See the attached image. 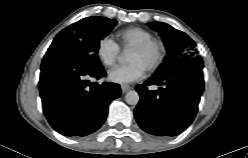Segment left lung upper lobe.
Instances as JSON below:
<instances>
[{
    "label": "left lung upper lobe",
    "mask_w": 248,
    "mask_h": 158,
    "mask_svg": "<svg viewBox=\"0 0 248 158\" xmlns=\"http://www.w3.org/2000/svg\"><path fill=\"white\" fill-rule=\"evenodd\" d=\"M148 25L162 37L168 53L153 76L160 77L181 62L197 57L195 42L184 32L163 22H150Z\"/></svg>",
    "instance_id": "5c2ea615"
}]
</instances>
